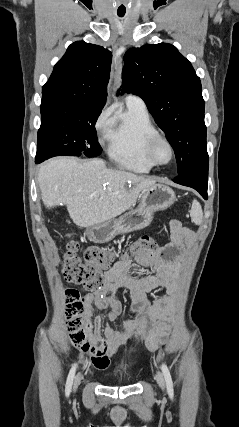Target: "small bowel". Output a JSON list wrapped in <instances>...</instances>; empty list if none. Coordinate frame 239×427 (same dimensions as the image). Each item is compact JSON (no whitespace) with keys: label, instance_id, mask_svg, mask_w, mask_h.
<instances>
[{"label":"small bowel","instance_id":"c3829d8e","mask_svg":"<svg viewBox=\"0 0 239 427\" xmlns=\"http://www.w3.org/2000/svg\"><path fill=\"white\" fill-rule=\"evenodd\" d=\"M171 241L145 254H135L139 268H148L151 274L143 275L139 269H133L129 260L123 259L109 268L103 278L102 286L88 300L98 309L109 308L108 319L118 321L122 311L120 301L115 297L119 289H126L131 295L129 313L135 318L119 320L120 329L104 323L96 317L93 327H89L90 362L100 370L106 369L116 352L128 344L138 341L142 329L152 321L158 320V326L168 332L173 318V297L163 296L149 302L147 293L165 288L171 295L175 293V279L181 259L180 251L190 243V232L176 220L171 223ZM148 348L154 350L157 344L145 339Z\"/></svg>","mask_w":239,"mask_h":427}]
</instances>
